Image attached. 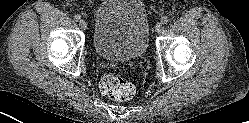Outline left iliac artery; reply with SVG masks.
<instances>
[{"label":"left iliac artery","mask_w":249,"mask_h":123,"mask_svg":"<svg viewBox=\"0 0 249 123\" xmlns=\"http://www.w3.org/2000/svg\"><path fill=\"white\" fill-rule=\"evenodd\" d=\"M169 17H167V16H164V17H162V22L164 23V24H167L168 22H169Z\"/></svg>","instance_id":"1"}]
</instances>
